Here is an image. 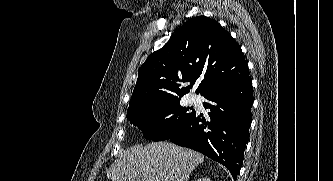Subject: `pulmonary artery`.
Returning a JSON list of instances; mask_svg holds the SVG:
<instances>
[{"mask_svg":"<svg viewBox=\"0 0 333 181\" xmlns=\"http://www.w3.org/2000/svg\"><path fill=\"white\" fill-rule=\"evenodd\" d=\"M190 101H191V102H195V101H196V98H195L194 96H191V97H190Z\"/></svg>","mask_w":333,"mask_h":181,"instance_id":"pulmonary-artery-1","label":"pulmonary artery"}]
</instances>
